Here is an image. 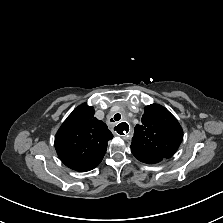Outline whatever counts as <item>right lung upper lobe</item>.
Wrapping results in <instances>:
<instances>
[{
  "mask_svg": "<svg viewBox=\"0 0 223 223\" xmlns=\"http://www.w3.org/2000/svg\"><path fill=\"white\" fill-rule=\"evenodd\" d=\"M93 107L78 106L63 122L55 136V149L69 168L86 172L103 159L107 142L113 138L107 125L94 117Z\"/></svg>",
  "mask_w": 223,
  "mask_h": 223,
  "instance_id": "right-lung-upper-lobe-1",
  "label": "right lung upper lobe"
}]
</instances>
